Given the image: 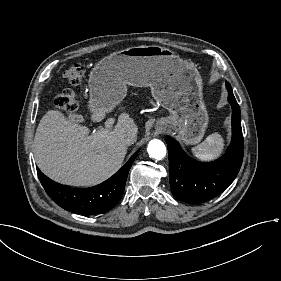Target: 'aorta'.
Masks as SVG:
<instances>
[{
	"label": "aorta",
	"instance_id": "aorta-1",
	"mask_svg": "<svg viewBox=\"0 0 281 281\" xmlns=\"http://www.w3.org/2000/svg\"><path fill=\"white\" fill-rule=\"evenodd\" d=\"M148 154L151 158L161 160L166 155V147L161 140L153 139L147 147Z\"/></svg>",
	"mask_w": 281,
	"mask_h": 281
}]
</instances>
